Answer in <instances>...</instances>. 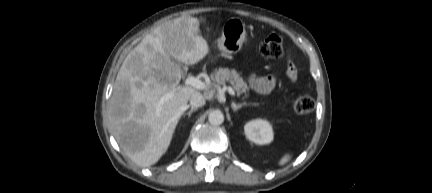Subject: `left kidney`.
<instances>
[{
	"label": "left kidney",
	"mask_w": 432,
	"mask_h": 193,
	"mask_svg": "<svg viewBox=\"0 0 432 193\" xmlns=\"http://www.w3.org/2000/svg\"><path fill=\"white\" fill-rule=\"evenodd\" d=\"M244 132L250 141L259 145L271 143L274 137L271 124L263 119H255L246 123Z\"/></svg>",
	"instance_id": "left-kidney-1"
}]
</instances>
